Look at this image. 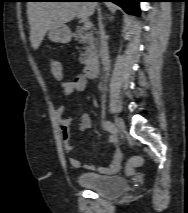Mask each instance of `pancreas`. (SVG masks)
I'll list each match as a JSON object with an SVG mask.
<instances>
[{
    "label": "pancreas",
    "instance_id": "1",
    "mask_svg": "<svg viewBox=\"0 0 188 213\" xmlns=\"http://www.w3.org/2000/svg\"><path fill=\"white\" fill-rule=\"evenodd\" d=\"M94 31L92 26L89 29L84 27H77L73 34L75 40L84 45V52L80 54V62L83 64L89 63V61L97 56L96 38L94 37Z\"/></svg>",
    "mask_w": 188,
    "mask_h": 213
}]
</instances>
